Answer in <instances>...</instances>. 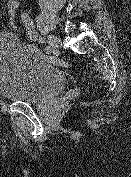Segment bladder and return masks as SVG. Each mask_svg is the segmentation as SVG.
<instances>
[{
	"instance_id": "bladder-1",
	"label": "bladder",
	"mask_w": 131,
	"mask_h": 177,
	"mask_svg": "<svg viewBox=\"0 0 131 177\" xmlns=\"http://www.w3.org/2000/svg\"><path fill=\"white\" fill-rule=\"evenodd\" d=\"M67 76L29 49L13 32L0 33V96L38 104L58 96Z\"/></svg>"
}]
</instances>
